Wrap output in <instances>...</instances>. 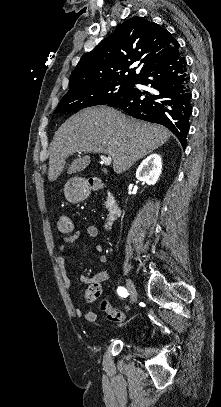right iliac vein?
<instances>
[{
  "label": "right iliac vein",
  "mask_w": 221,
  "mask_h": 407,
  "mask_svg": "<svg viewBox=\"0 0 221 407\" xmlns=\"http://www.w3.org/2000/svg\"><path fill=\"white\" fill-rule=\"evenodd\" d=\"M126 285H127V289L131 295V301L130 303L133 305L136 303L137 301V296H138V292L137 289L133 283V281L130 278L126 279Z\"/></svg>",
  "instance_id": "63e3f726"
}]
</instances>
